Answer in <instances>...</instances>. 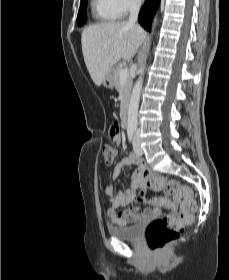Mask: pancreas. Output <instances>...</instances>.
Masks as SVG:
<instances>
[{
  "instance_id": "pancreas-1",
  "label": "pancreas",
  "mask_w": 229,
  "mask_h": 280,
  "mask_svg": "<svg viewBox=\"0 0 229 280\" xmlns=\"http://www.w3.org/2000/svg\"><path fill=\"white\" fill-rule=\"evenodd\" d=\"M122 69V65H117V67L114 69L115 72V87L116 89L120 88V70ZM132 87V79L128 76L126 79H124L123 86H122V102L120 105L121 112L124 111L126 103L129 99L130 91Z\"/></svg>"
}]
</instances>
